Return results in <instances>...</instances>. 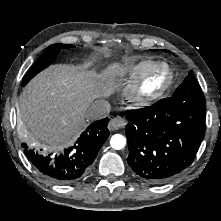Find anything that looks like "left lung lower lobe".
Here are the masks:
<instances>
[{
  "mask_svg": "<svg viewBox=\"0 0 221 221\" xmlns=\"http://www.w3.org/2000/svg\"><path fill=\"white\" fill-rule=\"evenodd\" d=\"M206 105L176 103L171 98L126 111L127 162L142 180L169 181L194 160L205 134Z\"/></svg>",
  "mask_w": 221,
  "mask_h": 221,
  "instance_id": "obj_1",
  "label": "left lung lower lobe"
}]
</instances>
